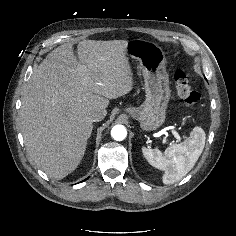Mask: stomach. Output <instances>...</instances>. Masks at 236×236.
I'll return each instance as SVG.
<instances>
[{
    "label": "stomach",
    "instance_id": "stomach-1",
    "mask_svg": "<svg viewBox=\"0 0 236 236\" xmlns=\"http://www.w3.org/2000/svg\"><path fill=\"white\" fill-rule=\"evenodd\" d=\"M126 55L140 63L146 99L140 107H129L125 111L140 123L141 130H157L165 122L171 98L165 53L152 41L134 39L127 42Z\"/></svg>",
    "mask_w": 236,
    "mask_h": 236
}]
</instances>
